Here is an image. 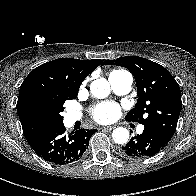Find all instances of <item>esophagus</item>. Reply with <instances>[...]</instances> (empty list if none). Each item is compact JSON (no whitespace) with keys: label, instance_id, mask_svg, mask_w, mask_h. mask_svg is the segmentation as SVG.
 I'll list each match as a JSON object with an SVG mask.
<instances>
[{"label":"esophagus","instance_id":"esophagus-1","mask_svg":"<svg viewBox=\"0 0 196 196\" xmlns=\"http://www.w3.org/2000/svg\"><path fill=\"white\" fill-rule=\"evenodd\" d=\"M104 130H112L114 129V126H107V127H103Z\"/></svg>","mask_w":196,"mask_h":196}]
</instances>
